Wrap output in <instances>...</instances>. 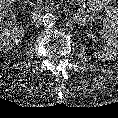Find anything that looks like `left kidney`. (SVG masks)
Returning a JSON list of instances; mask_svg holds the SVG:
<instances>
[{
	"label": "left kidney",
	"instance_id": "left-kidney-1",
	"mask_svg": "<svg viewBox=\"0 0 118 118\" xmlns=\"http://www.w3.org/2000/svg\"><path fill=\"white\" fill-rule=\"evenodd\" d=\"M100 36L106 40L108 48L104 51H97L94 56L101 61L114 60L118 56V39L107 30H100Z\"/></svg>",
	"mask_w": 118,
	"mask_h": 118
}]
</instances>
